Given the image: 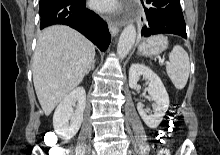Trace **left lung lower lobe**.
Listing matches in <instances>:
<instances>
[{"label":"left lung lower lobe","mask_w":220,"mask_h":155,"mask_svg":"<svg viewBox=\"0 0 220 155\" xmlns=\"http://www.w3.org/2000/svg\"><path fill=\"white\" fill-rule=\"evenodd\" d=\"M150 7L145 10L147 21L141 35L176 34L187 37L185 21L179 0H146Z\"/></svg>","instance_id":"1"}]
</instances>
